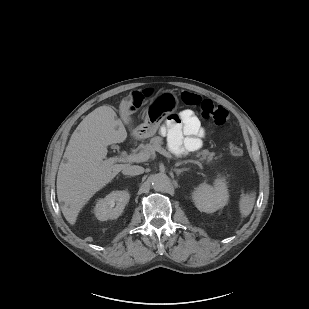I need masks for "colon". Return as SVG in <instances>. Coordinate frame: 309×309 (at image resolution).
I'll use <instances>...</instances> for the list:
<instances>
[{
	"instance_id": "1",
	"label": "colon",
	"mask_w": 309,
	"mask_h": 309,
	"mask_svg": "<svg viewBox=\"0 0 309 309\" xmlns=\"http://www.w3.org/2000/svg\"><path fill=\"white\" fill-rule=\"evenodd\" d=\"M182 101L186 106L194 108L204 119H212L216 125L226 126L230 122L228 110L209 99L190 92H184L182 94ZM130 104L132 109L139 107L141 97L138 95L132 96ZM228 151L234 157L241 156L243 154L241 141L238 139L231 141L228 144Z\"/></svg>"
}]
</instances>
